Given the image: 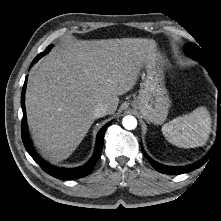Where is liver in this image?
I'll list each match as a JSON object with an SVG mask.
<instances>
[{
    "instance_id": "1",
    "label": "liver",
    "mask_w": 221,
    "mask_h": 221,
    "mask_svg": "<svg viewBox=\"0 0 221 221\" xmlns=\"http://www.w3.org/2000/svg\"><path fill=\"white\" fill-rule=\"evenodd\" d=\"M152 39L68 41L29 72L25 104L35 145L44 158L67 159L95 121L98 104L114 114L141 68L157 57Z\"/></svg>"
}]
</instances>
